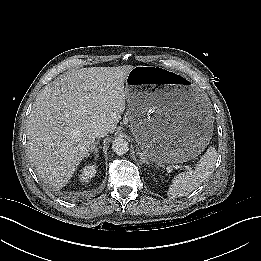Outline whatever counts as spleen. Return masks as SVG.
Listing matches in <instances>:
<instances>
[{
    "mask_svg": "<svg viewBox=\"0 0 261 261\" xmlns=\"http://www.w3.org/2000/svg\"><path fill=\"white\" fill-rule=\"evenodd\" d=\"M217 159V151L210 147L201 157L195 170L180 173L173 178L167 195L170 198L183 197L194 191L209 176L214 169Z\"/></svg>",
    "mask_w": 261,
    "mask_h": 261,
    "instance_id": "obj_1",
    "label": "spleen"
}]
</instances>
